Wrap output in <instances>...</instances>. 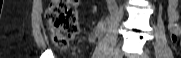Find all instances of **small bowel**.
<instances>
[{"label":"small bowel","mask_w":181,"mask_h":58,"mask_svg":"<svg viewBox=\"0 0 181 58\" xmlns=\"http://www.w3.org/2000/svg\"><path fill=\"white\" fill-rule=\"evenodd\" d=\"M168 27L171 34V40L177 44L181 35V11L178 0H170L167 7Z\"/></svg>","instance_id":"small-bowel-1"}]
</instances>
